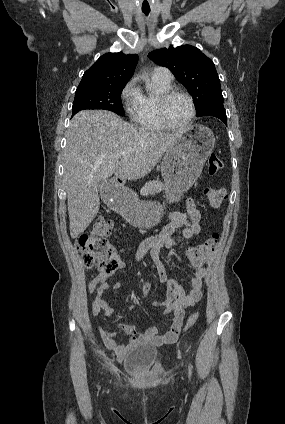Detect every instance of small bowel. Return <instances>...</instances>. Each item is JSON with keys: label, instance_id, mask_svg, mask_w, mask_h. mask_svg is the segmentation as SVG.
Segmentation results:
<instances>
[{"label": "small bowel", "instance_id": "small-bowel-1", "mask_svg": "<svg viewBox=\"0 0 285 424\" xmlns=\"http://www.w3.org/2000/svg\"><path fill=\"white\" fill-rule=\"evenodd\" d=\"M168 218L169 223L164 226L161 232L143 240L134 252L137 261H143L147 252L150 253L159 280L166 287L165 301H158L152 297L151 286L148 283H144L141 287L143 296L152 306L163 307V315L174 316V322L171 328L162 335L158 333L156 326H150L144 332L137 333L131 326L118 324L119 329L129 335L128 344H118L115 341V333L109 332L104 326L100 325L99 333L104 346L112 351L119 361H123L126 353L135 346L142 344L160 346L175 342L183 331L185 309L193 306L202 297V286L206 276L205 265L208 259L200 265H194L195 270L190 274V291L188 293H186L181 284L169 278L168 272L160 260V252L163 248L174 247L179 243L180 239H191L201 232V213L195 201L190 198L187 201V210L185 212L170 211L168 212ZM177 231L179 234L175 235ZM129 251H132V249L128 247L119 250L117 260L120 268L125 267L122 255ZM119 287V280L109 283L107 277L102 274L97 275L89 283V292L95 294L91 303L93 316H114V308L107 300L106 293Z\"/></svg>", "mask_w": 285, "mask_h": 424}]
</instances>
